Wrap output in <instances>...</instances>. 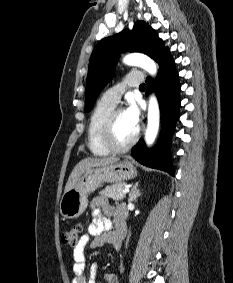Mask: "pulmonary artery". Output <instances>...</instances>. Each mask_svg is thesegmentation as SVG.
<instances>
[{
	"label": "pulmonary artery",
	"instance_id": "1",
	"mask_svg": "<svg viewBox=\"0 0 233 283\" xmlns=\"http://www.w3.org/2000/svg\"><path fill=\"white\" fill-rule=\"evenodd\" d=\"M143 82V76L140 72L129 73L124 81L110 89H108L103 95L101 100L111 105H117L121 95L127 87H138Z\"/></svg>",
	"mask_w": 233,
	"mask_h": 283
}]
</instances>
